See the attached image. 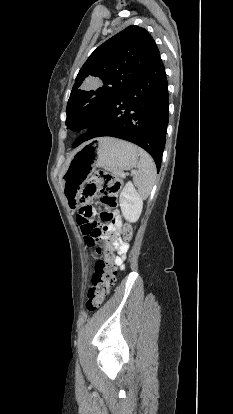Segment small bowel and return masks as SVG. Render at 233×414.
<instances>
[{
    "mask_svg": "<svg viewBox=\"0 0 233 414\" xmlns=\"http://www.w3.org/2000/svg\"><path fill=\"white\" fill-rule=\"evenodd\" d=\"M89 208L91 211V216L94 215L93 209L91 207ZM103 221L105 222V224L102 227V231L104 233L113 235L115 237L114 239L115 246L117 250L119 251V254L114 258L113 262L115 265L123 269L124 268V254L127 251L128 245L127 244L125 245L123 241L119 239V236L123 232L122 219L117 211H113V212L108 213L106 216H103ZM90 223L96 226L94 222L90 221Z\"/></svg>",
    "mask_w": 233,
    "mask_h": 414,
    "instance_id": "c3829d8e",
    "label": "small bowel"
}]
</instances>
